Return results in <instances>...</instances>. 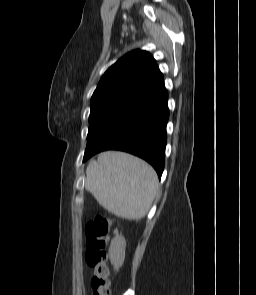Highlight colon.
I'll use <instances>...</instances> for the list:
<instances>
[{"label":"colon","mask_w":256,"mask_h":295,"mask_svg":"<svg viewBox=\"0 0 256 295\" xmlns=\"http://www.w3.org/2000/svg\"><path fill=\"white\" fill-rule=\"evenodd\" d=\"M112 218L97 214L85 226L86 262L94 269L91 280L92 295H110L108 241Z\"/></svg>","instance_id":"colon-1"}]
</instances>
